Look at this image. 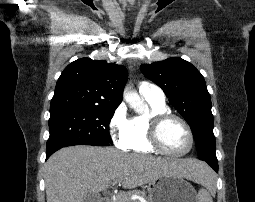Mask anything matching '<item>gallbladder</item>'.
Returning a JSON list of instances; mask_svg holds the SVG:
<instances>
[{"label":"gallbladder","instance_id":"bac80fb5","mask_svg":"<svg viewBox=\"0 0 255 202\" xmlns=\"http://www.w3.org/2000/svg\"><path fill=\"white\" fill-rule=\"evenodd\" d=\"M83 202H97V195L95 194H86V196L83 199Z\"/></svg>","mask_w":255,"mask_h":202}]
</instances>
